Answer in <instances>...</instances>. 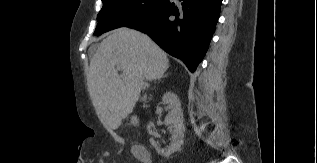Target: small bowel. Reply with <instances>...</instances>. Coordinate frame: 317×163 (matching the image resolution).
I'll return each mask as SVG.
<instances>
[{
    "instance_id": "1",
    "label": "small bowel",
    "mask_w": 317,
    "mask_h": 163,
    "mask_svg": "<svg viewBox=\"0 0 317 163\" xmlns=\"http://www.w3.org/2000/svg\"><path fill=\"white\" fill-rule=\"evenodd\" d=\"M134 155L136 156V158H138L140 161L144 162V163H150V160H149V155L148 153L146 152L145 154H141L137 148L135 147L134 148Z\"/></svg>"
}]
</instances>
